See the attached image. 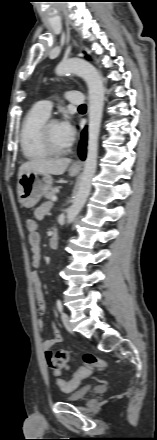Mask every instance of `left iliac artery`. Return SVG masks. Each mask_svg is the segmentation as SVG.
Listing matches in <instances>:
<instances>
[{"mask_svg": "<svg viewBox=\"0 0 157 440\" xmlns=\"http://www.w3.org/2000/svg\"><path fill=\"white\" fill-rule=\"evenodd\" d=\"M57 309L59 310V312H62L63 310L62 302L59 299L57 300Z\"/></svg>", "mask_w": 157, "mask_h": 440, "instance_id": "44dca946", "label": "left iliac artery"}]
</instances>
